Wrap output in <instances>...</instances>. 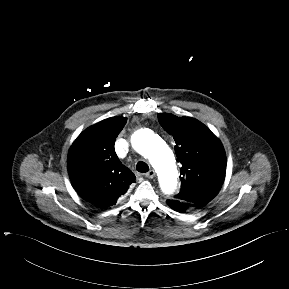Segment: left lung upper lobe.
I'll return each mask as SVG.
<instances>
[{
  "label": "left lung upper lobe",
  "mask_w": 289,
  "mask_h": 289,
  "mask_svg": "<svg viewBox=\"0 0 289 289\" xmlns=\"http://www.w3.org/2000/svg\"><path fill=\"white\" fill-rule=\"evenodd\" d=\"M163 129L173 136L177 161L182 164L181 190L175 199L201 206L219 192L226 173V154L220 140L200 121L159 113Z\"/></svg>",
  "instance_id": "obj_1"
}]
</instances>
